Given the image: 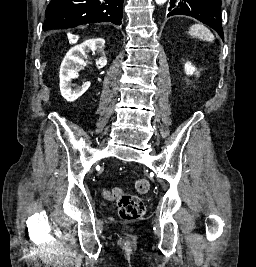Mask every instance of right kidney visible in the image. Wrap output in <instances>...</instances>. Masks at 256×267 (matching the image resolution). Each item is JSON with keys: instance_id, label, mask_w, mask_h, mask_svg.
Segmentation results:
<instances>
[{"instance_id": "1", "label": "right kidney", "mask_w": 256, "mask_h": 267, "mask_svg": "<svg viewBox=\"0 0 256 267\" xmlns=\"http://www.w3.org/2000/svg\"><path fill=\"white\" fill-rule=\"evenodd\" d=\"M104 48L105 40L94 38V40H85V42H82L79 46H74L67 52L59 72L60 92L67 102H75L90 86V82H83L82 86H73L72 84V80L77 78L76 68L85 66L84 56H87L88 52H96L97 50V52H100L101 58H98L96 64L99 68H103L107 64Z\"/></svg>"}]
</instances>
